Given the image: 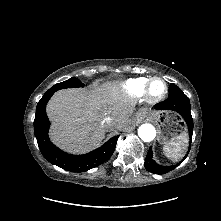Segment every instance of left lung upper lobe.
Listing matches in <instances>:
<instances>
[{
	"label": "left lung upper lobe",
	"instance_id": "left-lung-upper-lobe-1",
	"mask_svg": "<svg viewBox=\"0 0 221 221\" xmlns=\"http://www.w3.org/2000/svg\"><path fill=\"white\" fill-rule=\"evenodd\" d=\"M183 91L175 84L171 83L169 85V97L174 95H183Z\"/></svg>",
	"mask_w": 221,
	"mask_h": 221
}]
</instances>
